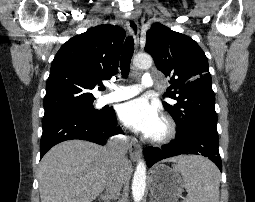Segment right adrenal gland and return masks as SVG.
<instances>
[{
	"mask_svg": "<svg viewBox=\"0 0 255 202\" xmlns=\"http://www.w3.org/2000/svg\"><path fill=\"white\" fill-rule=\"evenodd\" d=\"M101 199H102L104 202H109V200L107 199L106 195H101Z\"/></svg>",
	"mask_w": 255,
	"mask_h": 202,
	"instance_id": "obj_1",
	"label": "right adrenal gland"
}]
</instances>
